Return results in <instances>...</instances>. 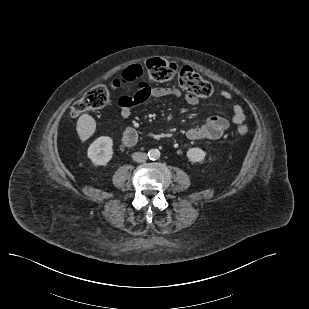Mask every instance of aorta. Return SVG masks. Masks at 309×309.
I'll use <instances>...</instances> for the list:
<instances>
[{
  "instance_id": "aorta-1",
  "label": "aorta",
  "mask_w": 309,
  "mask_h": 309,
  "mask_svg": "<svg viewBox=\"0 0 309 309\" xmlns=\"http://www.w3.org/2000/svg\"><path fill=\"white\" fill-rule=\"evenodd\" d=\"M160 151L158 149H151L148 151V157L151 159V160H157L160 158Z\"/></svg>"
}]
</instances>
